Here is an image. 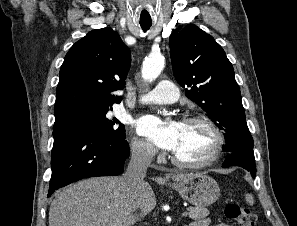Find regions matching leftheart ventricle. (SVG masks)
<instances>
[{
	"label": "left heart ventricle",
	"mask_w": 297,
	"mask_h": 226,
	"mask_svg": "<svg viewBox=\"0 0 297 226\" xmlns=\"http://www.w3.org/2000/svg\"><path fill=\"white\" fill-rule=\"evenodd\" d=\"M215 143L212 131L203 123H181L178 143L173 153L186 162H198L205 159Z\"/></svg>",
	"instance_id": "obj_1"
}]
</instances>
